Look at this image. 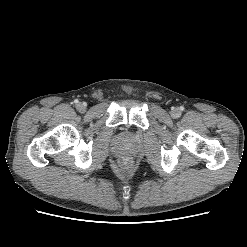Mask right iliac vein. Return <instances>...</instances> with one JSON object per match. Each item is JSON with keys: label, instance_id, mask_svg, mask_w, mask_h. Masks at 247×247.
<instances>
[{"label": "right iliac vein", "instance_id": "63e3f726", "mask_svg": "<svg viewBox=\"0 0 247 247\" xmlns=\"http://www.w3.org/2000/svg\"><path fill=\"white\" fill-rule=\"evenodd\" d=\"M76 108L79 112H85L86 111V105L82 102L78 103Z\"/></svg>", "mask_w": 247, "mask_h": 247}]
</instances>
